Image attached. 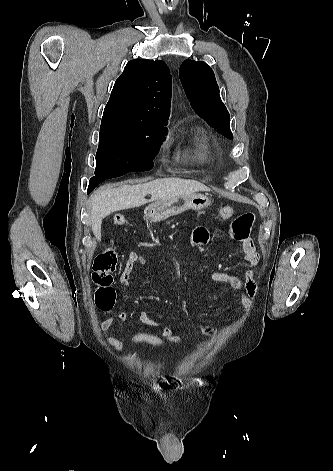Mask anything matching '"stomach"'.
Wrapping results in <instances>:
<instances>
[{"mask_svg":"<svg viewBox=\"0 0 333 471\" xmlns=\"http://www.w3.org/2000/svg\"><path fill=\"white\" fill-rule=\"evenodd\" d=\"M211 205V200L203 194L193 193L154 202L145 209V218L151 222L165 220L186 210H203Z\"/></svg>","mask_w":333,"mask_h":471,"instance_id":"obj_1","label":"stomach"}]
</instances>
